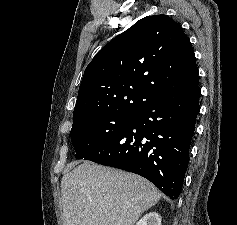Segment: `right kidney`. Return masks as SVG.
Returning a JSON list of instances; mask_svg holds the SVG:
<instances>
[{
	"label": "right kidney",
	"instance_id": "right-kidney-1",
	"mask_svg": "<svg viewBox=\"0 0 237 225\" xmlns=\"http://www.w3.org/2000/svg\"><path fill=\"white\" fill-rule=\"evenodd\" d=\"M136 225H161V218L156 212H149L144 215Z\"/></svg>",
	"mask_w": 237,
	"mask_h": 225
}]
</instances>
